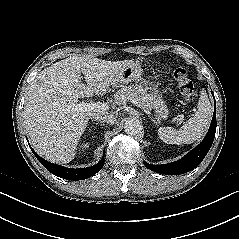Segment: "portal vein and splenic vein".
I'll list each match as a JSON object with an SVG mask.
<instances>
[{
  "label": "portal vein and splenic vein",
  "instance_id": "18ae733b",
  "mask_svg": "<svg viewBox=\"0 0 239 239\" xmlns=\"http://www.w3.org/2000/svg\"><path fill=\"white\" fill-rule=\"evenodd\" d=\"M136 106L140 107V105H137L136 102H133ZM76 110H79L81 112H89V111H105L109 107L106 103H79L77 105H74Z\"/></svg>",
  "mask_w": 239,
  "mask_h": 239
}]
</instances>
